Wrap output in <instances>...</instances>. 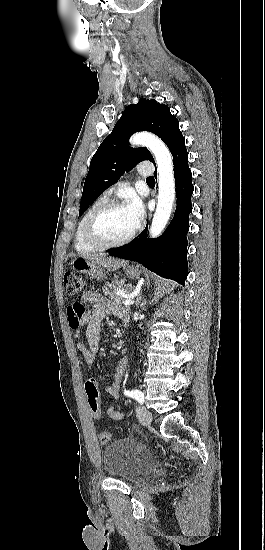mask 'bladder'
<instances>
[{
  "label": "bladder",
  "mask_w": 265,
  "mask_h": 550,
  "mask_svg": "<svg viewBox=\"0 0 265 550\" xmlns=\"http://www.w3.org/2000/svg\"><path fill=\"white\" fill-rule=\"evenodd\" d=\"M102 462L108 475L128 482L146 479L154 468L151 451L129 438L119 439L104 448Z\"/></svg>",
  "instance_id": "1"
}]
</instances>
